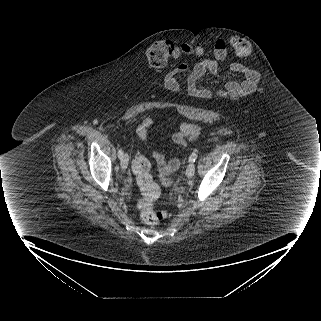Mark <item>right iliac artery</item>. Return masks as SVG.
Segmentation results:
<instances>
[{"label":"right iliac artery","mask_w":321,"mask_h":321,"mask_svg":"<svg viewBox=\"0 0 321 321\" xmlns=\"http://www.w3.org/2000/svg\"><path fill=\"white\" fill-rule=\"evenodd\" d=\"M118 157H119L120 159H122V157H123V152H122L121 149H119V151H118Z\"/></svg>","instance_id":"obj_1"}]
</instances>
